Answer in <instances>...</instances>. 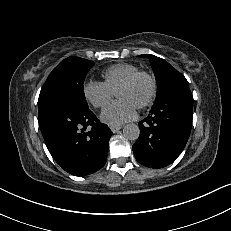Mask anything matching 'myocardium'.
I'll return each mask as SVG.
<instances>
[{
  "mask_svg": "<svg viewBox=\"0 0 231 231\" xmlns=\"http://www.w3.org/2000/svg\"><path fill=\"white\" fill-rule=\"evenodd\" d=\"M141 78H145L148 80L150 85V91L147 98L137 107L140 110L151 106L157 96V81L151 73L147 71L139 70L134 74H132L131 76H129L126 80H124L116 89L117 91L118 89L121 88L130 87L134 85L137 81H139Z\"/></svg>",
  "mask_w": 231,
  "mask_h": 231,
  "instance_id": "1",
  "label": "myocardium"
}]
</instances>
